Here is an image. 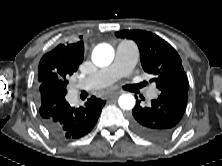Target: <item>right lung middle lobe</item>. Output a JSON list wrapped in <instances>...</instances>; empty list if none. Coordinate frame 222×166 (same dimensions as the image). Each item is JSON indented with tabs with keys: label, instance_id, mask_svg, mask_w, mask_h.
I'll return each mask as SVG.
<instances>
[{
	"label": "right lung middle lobe",
	"instance_id": "dd1d6c3e",
	"mask_svg": "<svg viewBox=\"0 0 222 166\" xmlns=\"http://www.w3.org/2000/svg\"><path fill=\"white\" fill-rule=\"evenodd\" d=\"M78 65L70 62H40L38 67V82H53L66 88L68 78L76 72Z\"/></svg>",
	"mask_w": 222,
	"mask_h": 166
}]
</instances>
